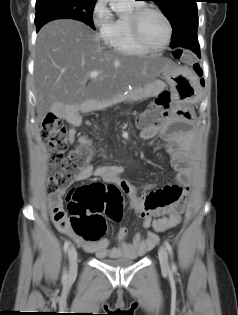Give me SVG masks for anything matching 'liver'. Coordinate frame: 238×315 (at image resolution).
Listing matches in <instances>:
<instances>
[{"label": "liver", "mask_w": 238, "mask_h": 315, "mask_svg": "<svg viewBox=\"0 0 238 315\" xmlns=\"http://www.w3.org/2000/svg\"><path fill=\"white\" fill-rule=\"evenodd\" d=\"M164 67L160 56L131 57L101 46L96 33L80 21H51L36 42L37 122L49 112L64 117L85 102L110 100L129 85L145 87ZM92 71L98 72L94 79Z\"/></svg>", "instance_id": "6515ba94"}]
</instances>
